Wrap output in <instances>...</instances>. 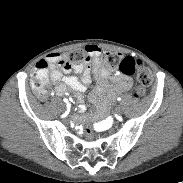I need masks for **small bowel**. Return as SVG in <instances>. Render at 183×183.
I'll return each mask as SVG.
<instances>
[{
  "label": "small bowel",
  "mask_w": 183,
  "mask_h": 183,
  "mask_svg": "<svg viewBox=\"0 0 183 183\" xmlns=\"http://www.w3.org/2000/svg\"><path fill=\"white\" fill-rule=\"evenodd\" d=\"M86 50L89 53L91 64L95 72L97 87L91 95L93 101H97L100 96L105 94L107 100H111L117 94L126 92L132 87V80L124 74L111 76L107 69L101 65L100 57L102 54L101 49L97 45H88ZM62 55L52 54L47 58L49 63L50 78L54 83L63 80V84H57V91L62 93L65 90L74 92L80 112L84 111L83 93L88 89L91 84L90 64L86 66L76 65L73 70L80 74V78L71 75V69L59 68L56 66L59 63ZM115 124V119L112 116H107L105 119L99 120L94 124L97 132L102 133L108 127Z\"/></svg>",
  "instance_id": "small-bowel-1"
}]
</instances>
